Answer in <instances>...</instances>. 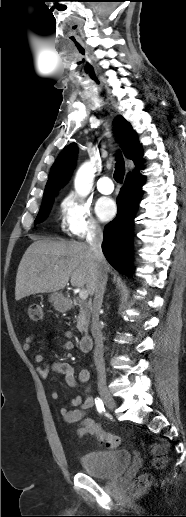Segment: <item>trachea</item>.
I'll list each match as a JSON object with an SVG mask.
<instances>
[{"mask_svg":"<svg viewBox=\"0 0 186 517\" xmlns=\"http://www.w3.org/2000/svg\"><path fill=\"white\" fill-rule=\"evenodd\" d=\"M116 160H117V162L115 165L114 179L117 182L122 183L124 175H125V163H124V159L120 152L117 153Z\"/></svg>","mask_w":186,"mask_h":517,"instance_id":"1","label":"trachea"}]
</instances>
